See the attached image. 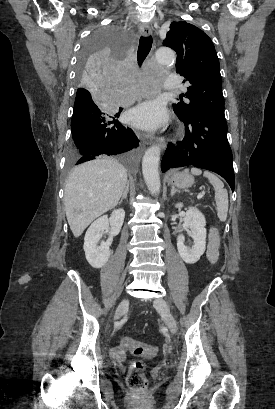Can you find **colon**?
<instances>
[{
	"mask_svg": "<svg viewBox=\"0 0 275 409\" xmlns=\"http://www.w3.org/2000/svg\"><path fill=\"white\" fill-rule=\"evenodd\" d=\"M123 349L129 353H134L136 358H152L156 356L157 343L146 342L145 340H131L124 337L120 343ZM127 383L131 388L143 389L146 385V377L143 374V366L137 362L131 365L127 376Z\"/></svg>",
	"mask_w": 275,
	"mask_h": 409,
	"instance_id": "1",
	"label": "colon"
}]
</instances>
